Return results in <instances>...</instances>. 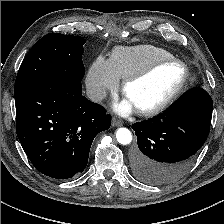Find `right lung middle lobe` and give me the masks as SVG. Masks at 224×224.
<instances>
[{"label":"right lung middle lobe","mask_w":224,"mask_h":224,"mask_svg":"<svg viewBox=\"0 0 224 224\" xmlns=\"http://www.w3.org/2000/svg\"><path fill=\"white\" fill-rule=\"evenodd\" d=\"M85 39L49 33L34 44L21 64L14 86L15 98L42 82L69 81L81 83Z\"/></svg>","instance_id":"dd1d6c3e"}]
</instances>
